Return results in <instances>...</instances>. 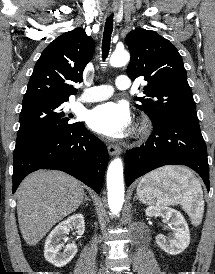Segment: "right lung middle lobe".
<instances>
[{"instance_id":"obj_1","label":"right lung middle lobe","mask_w":215,"mask_h":274,"mask_svg":"<svg viewBox=\"0 0 215 274\" xmlns=\"http://www.w3.org/2000/svg\"><path fill=\"white\" fill-rule=\"evenodd\" d=\"M64 102L44 101L23 106L13 160L35 144L74 128L79 122L64 112Z\"/></svg>"}]
</instances>
